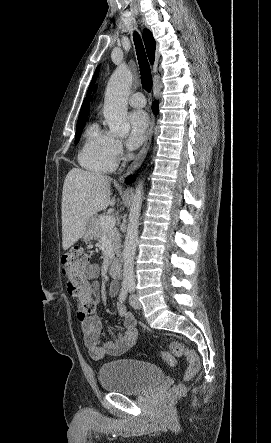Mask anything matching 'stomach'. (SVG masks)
<instances>
[{
  "mask_svg": "<svg viewBox=\"0 0 271 443\" xmlns=\"http://www.w3.org/2000/svg\"><path fill=\"white\" fill-rule=\"evenodd\" d=\"M94 222L95 218L92 216V218H89L88 222L85 223L84 233L82 235L83 241H91L94 235Z\"/></svg>",
  "mask_w": 271,
  "mask_h": 443,
  "instance_id": "1",
  "label": "stomach"
}]
</instances>
